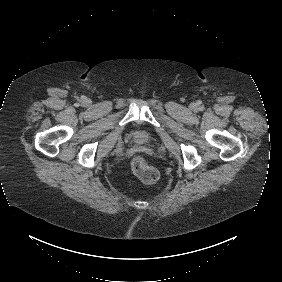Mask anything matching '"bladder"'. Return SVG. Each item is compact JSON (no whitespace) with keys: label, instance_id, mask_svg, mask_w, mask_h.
Listing matches in <instances>:
<instances>
[{"label":"bladder","instance_id":"bladder-1","mask_svg":"<svg viewBox=\"0 0 282 282\" xmlns=\"http://www.w3.org/2000/svg\"><path fill=\"white\" fill-rule=\"evenodd\" d=\"M134 137H135V140L139 143H146L150 139L149 133L144 130H140L136 132Z\"/></svg>","mask_w":282,"mask_h":282}]
</instances>
